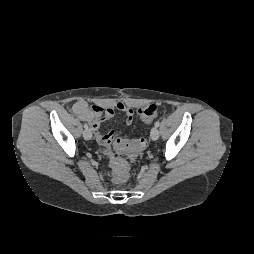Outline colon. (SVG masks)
<instances>
[{
	"mask_svg": "<svg viewBox=\"0 0 254 254\" xmlns=\"http://www.w3.org/2000/svg\"><path fill=\"white\" fill-rule=\"evenodd\" d=\"M159 112V106L156 104H149L137 109V114L143 120H152L154 119ZM120 148L132 155L139 153L146 146L145 139H136V140H122L119 142ZM116 177L119 180H124L126 174L122 168H118L116 171Z\"/></svg>",
	"mask_w": 254,
	"mask_h": 254,
	"instance_id": "5ec220e1",
	"label": "colon"
}]
</instances>
